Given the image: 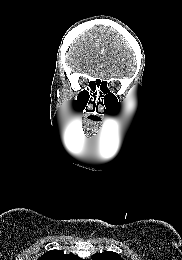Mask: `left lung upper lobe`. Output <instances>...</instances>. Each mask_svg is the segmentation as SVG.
I'll return each mask as SVG.
<instances>
[{
	"instance_id": "1",
	"label": "left lung upper lobe",
	"mask_w": 182,
	"mask_h": 260,
	"mask_svg": "<svg viewBox=\"0 0 182 260\" xmlns=\"http://www.w3.org/2000/svg\"><path fill=\"white\" fill-rule=\"evenodd\" d=\"M92 260H123L120 255L111 251H104L102 253H95Z\"/></svg>"
}]
</instances>
